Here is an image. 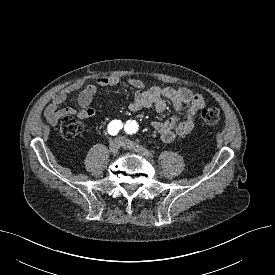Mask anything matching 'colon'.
I'll return each instance as SVG.
<instances>
[{"label":"colon","mask_w":275,"mask_h":275,"mask_svg":"<svg viewBox=\"0 0 275 275\" xmlns=\"http://www.w3.org/2000/svg\"><path fill=\"white\" fill-rule=\"evenodd\" d=\"M201 119L207 126H215L221 120L220 111L217 108H205L201 112ZM60 134L65 139H73L82 131V125L71 116H65L60 123Z\"/></svg>","instance_id":"5ec220e1"}]
</instances>
